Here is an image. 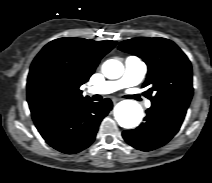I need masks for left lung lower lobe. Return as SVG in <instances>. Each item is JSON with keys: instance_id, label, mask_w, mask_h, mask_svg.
Segmentation results:
<instances>
[{"instance_id": "1", "label": "left lung lower lobe", "mask_w": 212, "mask_h": 183, "mask_svg": "<svg viewBox=\"0 0 212 183\" xmlns=\"http://www.w3.org/2000/svg\"><path fill=\"white\" fill-rule=\"evenodd\" d=\"M186 111L187 108L182 106L152 103L146 110L144 122L134 130L123 131V138L138 150L159 148L178 132Z\"/></svg>"}]
</instances>
